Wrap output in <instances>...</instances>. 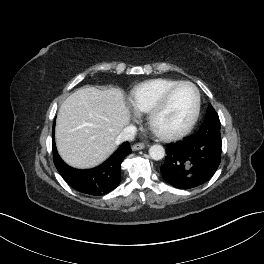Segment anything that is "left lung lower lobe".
I'll list each match as a JSON object with an SVG mask.
<instances>
[{
  "instance_id": "left-lung-lower-lobe-1",
  "label": "left lung lower lobe",
  "mask_w": 264,
  "mask_h": 264,
  "mask_svg": "<svg viewBox=\"0 0 264 264\" xmlns=\"http://www.w3.org/2000/svg\"><path fill=\"white\" fill-rule=\"evenodd\" d=\"M221 147L220 128L202 124L195 134L167 145V156L160 168L163 178L179 189L204 184L218 169Z\"/></svg>"
}]
</instances>
